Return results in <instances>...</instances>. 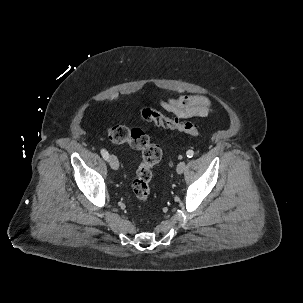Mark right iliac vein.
Instances as JSON below:
<instances>
[{
  "mask_svg": "<svg viewBox=\"0 0 303 303\" xmlns=\"http://www.w3.org/2000/svg\"><path fill=\"white\" fill-rule=\"evenodd\" d=\"M108 162L112 169L117 170L119 168V161L116 156L110 155Z\"/></svg>",
  "mask_w": 303,
  "mask_h": 303,
  "instance_id": "obj_1",
  "label": "right iliac vein"
}]
</instances>
